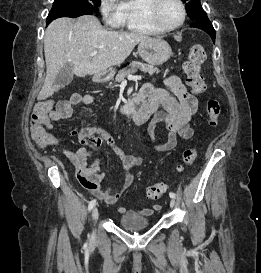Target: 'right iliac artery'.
Instances as JSON below:
<instances>
[{"mask_svg":"<svg viewBox=\"0 0 261 273\" xmlns=\"http://www.w3.org/2000/svg\"><path fill=\"white\" fill-rule=\"evenodd\" d=\"M95 204H96V200L95 199L91 200L89 205H88V210L91 211L92 208L95 206Z\"/></svg>","mask_w":261,"mask_h":273,"instance_id":"82829eb1","label":"right iliac artery"}]
</instances>
